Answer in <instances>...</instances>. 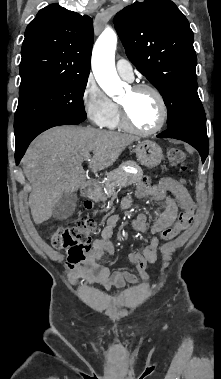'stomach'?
I'll return each mask as SVG.
<instances>
[{"label": "stomach", "mask_w": 221, "mask_h": 379, "mask_svg": "<svg viewBox=\"0 0 221 379\" xmlns=\"http://www.w3.org/2000/svg\"><path fill=\"white\" fill-rule=\"evenodd\" d=\"M135 153L138 161L149 168L158 166L164 158L161 147L151 140L139 141Z\"/></svg>", "instance_id": "obj_1"}]
</instances>
